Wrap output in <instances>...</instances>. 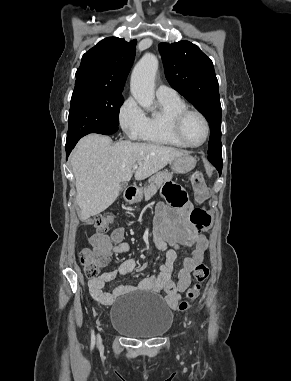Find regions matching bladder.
<instances>
[{
	"instance_id": "31cf9c89",
	"label": "bladder",
	"mask_w": 291,
	"mask_h": 381,
	"mask_svg": "<svg viewBox=\"0 0 291 381\" xmlns=\"http://www.w3.org/2000/svg\"><path fill=\"white\" fill-rule=\"evenodd\" d=\"M173 320L172 310L156 295H124L112 304L110 311L112 328L138 339L165 335Z\"/></svg>"
}]
</instances>
